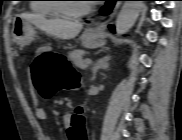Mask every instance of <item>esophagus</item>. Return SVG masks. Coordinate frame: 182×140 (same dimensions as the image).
Here are the masks:
<instances>
[{"mask_svg":"<svg viewBox=\"0 0 182 140\" xmlns=\"http://www.w3.org/2000/svg\"><path fill=\"white\" fill-rule=\"evenodd\" d=\"M119 5H120L119 2L116 3V6H115V8H114V10H113V13H112V16L115 15V13L117 12V10H118V8H119ZM106 29H107L106 23H100V24L96 25V26L93 28V30H94L95 32H97V33H104V32L106 31Z\"/></svg>","mask_w":182,"mask_h":140,"instance_id":"34e87169","label":"esophagus"}]
</instances>
